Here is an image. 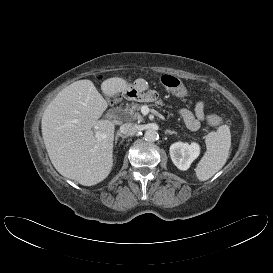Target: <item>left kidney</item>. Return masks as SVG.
Segmentation results:
<instances>
[{"label": "left kidney", "mask_w": 273, "mask_h": 273, "mask_svg": "<svg viewBox=\"0 0 273 273\" xmlns=\"http://www.w3.org/2000/svg\"><path fill=\"white\" fill-rule=\"evenodd\" d=\"M199 154L200 146L195 142L191 144L176 142L170 146L171 160L180 170H187Z\"/></svg>", "instance_id": "1"}]
</instances>
